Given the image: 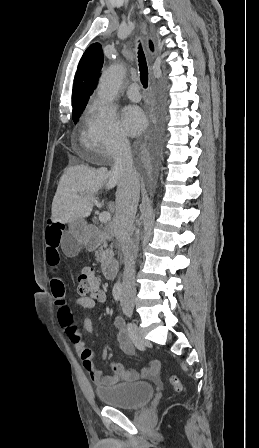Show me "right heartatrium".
Instances as JSON below:
<instances>
[{"label": "right heart atrium", "mask_w": 259, "mask_h": 448, "mask_svg": "<svg viewBox=\"0 0 259 448\" xmlns=\"http://www.w3.org/2000/svg\"><path fill=\"white\" fill-rule=\"evenodd\" d=\"M95 118L87 136L89 148L97 157H118L128 146V139L110 105L93 98Z\"/></svg>", "instance_id": "d8ad5b80"}]
</instances>
